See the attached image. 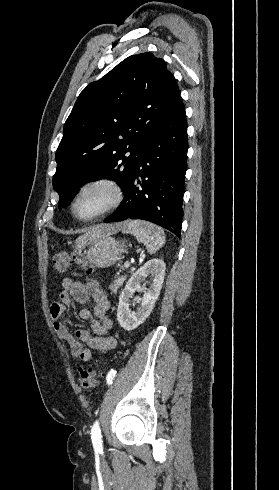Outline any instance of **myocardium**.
I'll return each mask as SVG.
<instances>
[{
  "mask_svg": "<svg viewBox=\"0 0 279 490\" xmlns=\"http://www.w3.org/2000/svg\"><path fill=\"white\" fill-rule=\"evenodd\" d=\"M91 187L106 190L108 192V198L93 212L87 215H81L77 211V204L85 191ZM124 197L123 187L116 178L109 175L92 176L81 181L76 187L70 204L71 213L78 221L89 222L117 208L124 200Z\"/></svg>",
  "mask_w": 279,
  "mask_h": 490,
  "instance_id": "1",
  "label": "myocardium"
}]
</instances>
